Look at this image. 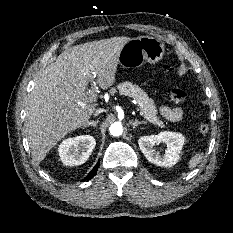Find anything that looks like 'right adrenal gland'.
<instances>
[{
    "label": "right adrenal gland",
    "mask_w": 233,
    "mask_h": 233,
    "mask_svg": "<svg viewBox=\"0 0 233 233\" xmlns=\"http://www.w3.org/2000/svg\"><path fill=\"white\" fill-rule=\"evenodd\" d=\"M97 123H98V120H97V121H90V122H87V123L83 126V129H85L86 127H89V126L97 127Z\"/></svg>",
    "instance_id": "2a0ac1e0"
}]
</instances>
